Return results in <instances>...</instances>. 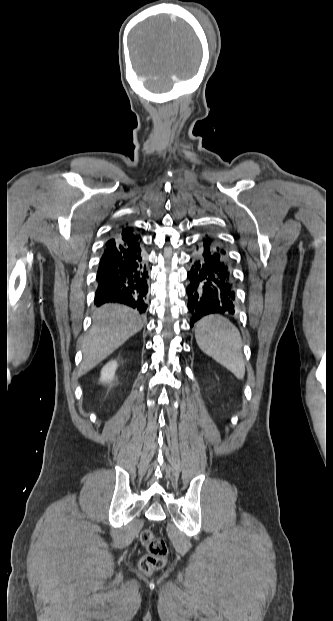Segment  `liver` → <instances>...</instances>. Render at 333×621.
Returning <instances> with one entry per match:
<instances>
[{
  "label": "liver",
  "mask_w": 333,
  "mask_h": 621,
  "mask_svg": "<svg viewBox=\"0 0 333 621\" xmlns=\"http://www.w3.org/2000/svg\"><path fill=\"white\" fill-rule=\"evenodd\" d=\"M142 328L140 315L131 308L116 304L98 308L93 315L92 328L82 344L84 359L80 373L93 369Z\"/></svg>",
  "instance_id": "6515ba94"
}]
</instances>
